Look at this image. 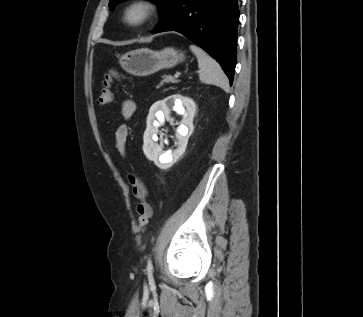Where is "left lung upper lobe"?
<instances>
[{"mask_svg":"<svg viewBox=\"0 0 363 317\" xmlns=\"http://www.w3.org/2000/svg\"><path fill=\"white\" fill-rule=\"evenodd\" d=\"M121 1L124 0H110L109 2V7L110 9L113 8V6ZM154 2H156L160 8V13L165 9V7L167 6V4L169 3L170 0H152Z\"/></svg>","mask_w":363,"mask_h":317,"instance_id":"5c2ea615","label":"left lung upper lobe"}]
</instances>
